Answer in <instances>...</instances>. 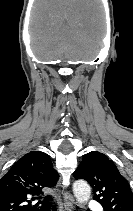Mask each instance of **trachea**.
<instances>
[{"instance_id":"1","label":"trachea","mask_w":133,"mask_h":211,"mask_svg":"<svg viewBox=\"0 0 133 211\" xmlns=\"http://www.w3.org/2000/svg\"><path fill=\"white\" fill-rule=\"evenodd\" d=\"M50 207H51V203H48L46 201L42 202V206H41L42 209H50Z\"/></svg>"}]
</instances>
